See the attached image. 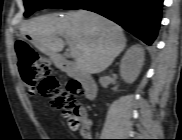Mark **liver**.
<instances>
[{
	"label": "liver",
	"instance_id": "liver-1",
	"mask_svg": "<svg viewBox=\"0 0 182 140\" xmlns=\"http://www.w3.org/2000/svg\"><path fill=\"white\" fill-rule=\"evenodd\" d=\"M20 31L50 56L63 50L64 42L59 36L66 37L79 51L75 67L88 74L104 71L126 45L119 25L86 10L68 12L64 17L58 14L35 17L24 23Z\"/></svg>",
	"mask_w": 182,
	"mask_h": 140
}]
</instances>
